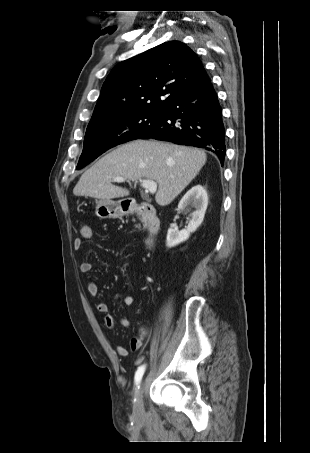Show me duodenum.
<instances>
[{
  "label": "duodenum",
  "mask_w": 310,
  "mask_h": 453,
  "mask_svg": "<svg viewBox=\"0 0 310 453\" xmlns=\"http://www.w3.org/2000/svg\"><path fill=\"white\" fill-rule=\"evenodd\" d=\"M125 213L136 214L143 221L149 235V242L158 234L160 229V219L151 204L142 203L138 207H129L125 209Z\"/></svg>",
  "instance_id": "obj_1"
}]
</instances>
